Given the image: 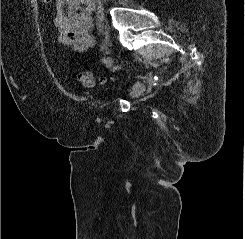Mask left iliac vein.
Wrapping results in <instances>:
<instances>
[{
  "label": "left iliac vein",
  "mask_w": 245,
  "mask_h": 239,
  "mask_svg": "<svg viewBox=\"0 0 245 239\" xmlns=\"http://www.w3.org/2000/svg\"><path fill=\"white\" fill-rule=\"evenodd\" d=\"M106 67L107 68H110L111 66H112V64H113V59H112V57L111 56H108L107 58H106Z\"/></svg>",
  "instance_id": "4c4485c4"
}]
</instances>
